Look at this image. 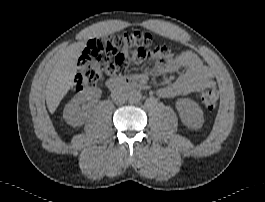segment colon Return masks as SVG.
Returning <instances> with one entry per match:
<instances>
[{
  "mask_svg": "<svg viewBox=\"0 0 265 202\" xmlns=\"http://www.w3.org/2000/svg\"><path fill=\"white\" fill-rule=\"evenodd\" d=\"M165 48L155 44L151 34L144 31L122 32L99 38L89 55L77 64L73 89L78 92L95 86L106 75L122 74L130 60L148 61L160 57ZM208 110H214L219 100V89L208 86L199 94Z\"/></svg>",
  "mask_w": 265,
  "mask_h": 202,
  "instance_id": "colon-1",
  "label": "colon"
}]
</instances>
